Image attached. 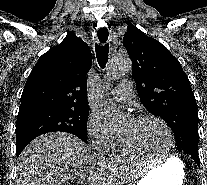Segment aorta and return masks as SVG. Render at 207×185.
<instances>
[{"mask_svg": "<svg viewBox=\"0 0 207 185\" xmlns=\"http://www.w3.org/2000/svg\"><path fill=\"white\" fill-rule=\"evenodd\" d=\"M132 68V61L128 55H117L114 56L106 66V72L104 79L106 83H112L115 80L123 77ZM105 114L107 115L110 124L116 128L120 129L125 125L127 120V115L119 110L110 103H105Z\"/></svg>", "mask_w": 207, "mask_h": 185, "instance_id": "1", "label": "aorta"}]
</instances>
